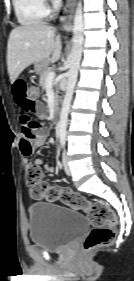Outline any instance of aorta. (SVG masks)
<instances>
[{
    "label": "aorta",
    "instance_id": "obj_1",
    "mask_svg": "<svg viewBox=\"0 0 134 281\" xmlns=\"http://www.w3.org/2000/svg\"><path fill=\"white\" fill-rule=\"evenodd\" d=\"M83 32H84V22H83V11L82 3L78 2L73 25V46L71 51L70 69L68 71V80L66 86V93L62 103V109L60 112L59 121V136L65 137L67 124H68V114L70 111L71 100L74 93V88L77 81L78 70L80 67V60L82 56L83 49Z\"/></svg>",
    "mask_w": 134,
    "mask_h": 281
}]
</instances>
